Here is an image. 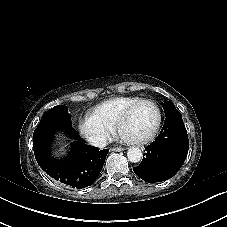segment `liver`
<instances>
[{
	"mask_svg": "<svg viewBox=\"0 0 227 227\" xmlns=\"http://www.w3.org/2000/svg\"><path fill=\"white\" fill-rule=\"evenodd\" d=\"M59 137H60L59 139L62 140L63 146H61L58 150H55V151L53 152V156H55V157H59V156H62V155L65 154V147L67 146L66 140L72 141V139H67V138H66L65 136H63V135H59Z\"/></svg>",
	"mask_w": 227,
	"mask_h": 227,
	"instance_id": "obj_1",
	"label": "liver"
}]
</instances>
